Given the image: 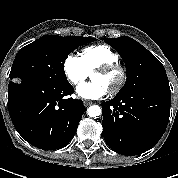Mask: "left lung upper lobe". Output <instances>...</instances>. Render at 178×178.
I'll return each instance as SVG.
<instances>
[{
  "mask_svg": "<svg viewBox=\"0 0 178 178\" xmlns=\"http://www.w3.org/2000/svg\"><path fill=\"white\" fill-rule=\"evenodd\" d=\"M105 42L117 50L126 65L127 80L119 95L142 89L171 93L164 66L140 43L127 36L106 38Z\"/></svg>",
  "mask_w": 178,
  "mask_h": 178,
  "instance_id": "5c2ea615",
  "label": "left lung upper lobe"
}]
</instances>
